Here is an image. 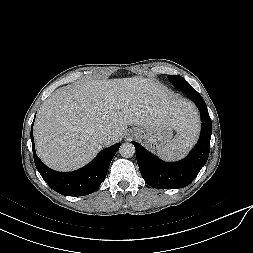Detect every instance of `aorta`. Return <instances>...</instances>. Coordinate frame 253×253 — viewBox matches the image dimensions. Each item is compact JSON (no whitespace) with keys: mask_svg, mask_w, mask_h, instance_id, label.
<instances>
[{"mask_svg":"<svg viewBox=\"0 0 253 253\" xmlns=\"http://www.w3.org/2000/svg\"><path fill=\"white\" fill-rule=\"evenodd\" d=\"M119 153L124 158H131L135 154V147L132 143H123L119 148Z\"/></svg>","mask_w":253,"mask_h":253,"instance_id":"1","label":"aorta"}]
</instances>
